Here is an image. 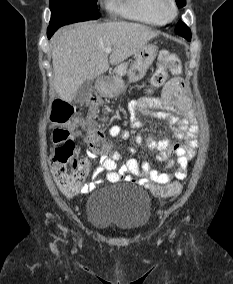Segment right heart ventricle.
<instances>
[{"instance_id":"right-heart-ventricle-1","label":"right heart ventricle","mask_w":233,"mask_h":284,"mask_svg":"<svg viewBox=\"0 0 233 284\" xmlns=\"http://www.w3.org/2000/svg\"><path fill=\"white\" fill-rule=\"evenodd\" d=\"M157 0H108L109 9L121 17L153 26L165 22L156 11Z\"/></svg>"}]
</instances>
